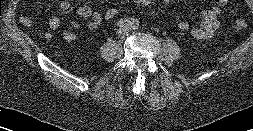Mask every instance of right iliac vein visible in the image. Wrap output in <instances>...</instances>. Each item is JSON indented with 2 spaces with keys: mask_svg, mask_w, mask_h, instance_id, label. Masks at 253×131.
Listing matches in <instances>:
<instances>
[{
  "mask_svg": "<svg viewBox=\"0 0 253 131\" xmlns=\"http://www.w3.org/2000/svg\"><path fill=\"white\" fill-rule=\"evenodd\" d=\"M124 34H125V30H124V29H119V30L117 31V35H118L119 37H122Z\"/></svg>",
  "mask_w": 253,
  "mask_h": 131,
  "instance_id": "obj_1",
  "label": "right iliac vein"
}]
</instances>
